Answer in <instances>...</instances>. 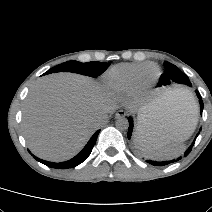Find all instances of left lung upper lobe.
Listing matches in <instances>:
<instances>
[{"instance_id": "1", "label": "left lung upper lobe", "mask_w": 212, "mask_h": 212, "mask_svg": "<svg viewBox=\"0 0 212 212\" xmlns=\"http://www.w3.org/2000/svg\"><path fill=\"white\" fill-rule=\"evenodd\" d=\"M166 71L161 75L158 86L169 85L171 83L186 84L191 85L189 78L181 70H179L175 65L164 62Z\"/></svg>"}]
</instances>
